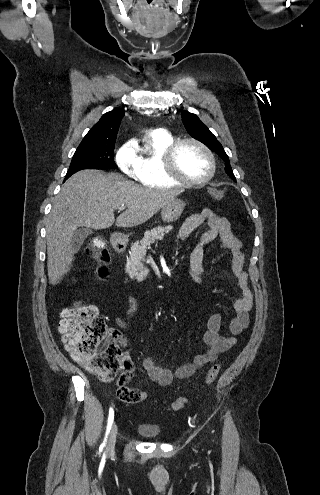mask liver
I'll return each mask as SVG.
<instances>
[{
    "instance_id": "6515ba94",
    "label": "liver",
    "mask_w": 320,
    "mask_h": 495,
    "mask_svg": "<svg viewBox=\"0 0 320 495\" xmlns=\"http://www.w3.org/2000/svg\"><path fill=\"white\" fill-rule=\"evenodd\" d=\"M182 190L140 187L119 174L83 170L72 175L61 188L46 225L49 283L56 285L74 259L71 238L81 226L106 229L134 227L148 221L173 201ZM126 211L115 220L114 211Z\"/></svg>"
}]
</instances>
